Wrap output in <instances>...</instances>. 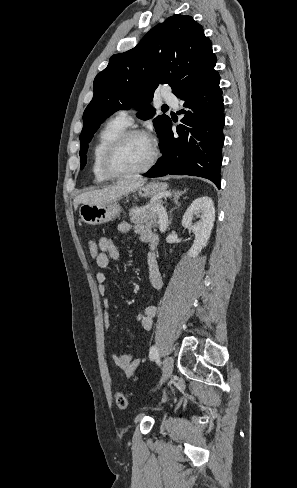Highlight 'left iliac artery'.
Listing matches in <instances>:
<instances>
[{
    "label": "left iliac artery",
    "instance_id": "1",
    "mask_svg": "<svg viewBox=\"0 0 297 488\" xmlns=\"http://www.w3.org/2000/svg\"><path fill=\"white\" fill-rule=\"evenodd\" d=\"M158 356H159V353H158L157 347L155 345L151 346L150 350H149L150 360H154V359L158 358Z\"/></svg>",
    "mask_w": 297,
    "mask_h": 488
}]
</instances>
